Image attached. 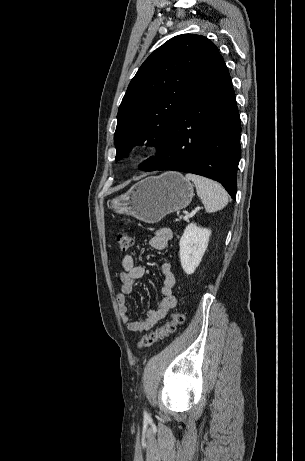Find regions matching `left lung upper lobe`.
Returning <instances> with one entry per match:
<instances>
[{
  "label": "left lung upper lobe",
  "instance_id": "left-lung-upper-lobe-1",
  "mask_svg": "<svg viewBox=\"0 0 305 461\" xmlns=\"http://www.w3.org/2000/svg\"><path fill=\"white\" fill-rule=\"evenodd\" d=\"M220 56L206 37L175 36L156 49L131 80L117 114L114 134L117 159L147 142L158 149L141 165L144 171L158 160L166 133L193 89Z\"/></svg>",
  "mask_w": 305,
  "mask_h": 461
}]
</instances>
